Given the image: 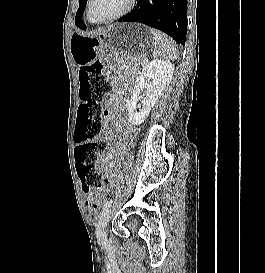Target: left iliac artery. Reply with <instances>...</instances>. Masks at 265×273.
<instances>
[{
    "label": "left iliac artery",
    "instance_id": "obj_1",
    "mask_svg": "<svg viewBox=\"0 0 265 273\" xmlns=\"http://www.w3.org/2000/svg\"><path fill=\"white\" fill-rule=\"evenodd\" d=\"M112 203H113V200H112V199L106 201V202L103 204V207H102L103 211H104V210H107V209L112 205Z\"/></svg>",
    "mask_w": 265,
    "mask_h": 273
}]
</instances>
